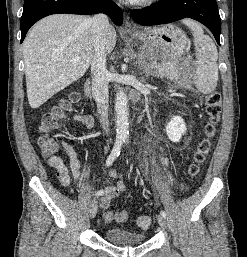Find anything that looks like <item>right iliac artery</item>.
I'll return each mask as SVG.
<instances>
[{"label":"right iliac artery","instance_id":"1","mask_svg":"<svg viewBox=\"0 0 247 257\" xmlns=\"http://www.w3.org/2000/svg\"><path fill=\"white\" fill-rule=\"evenodd\" d=\"M121 146H122V140H116L113 150L111 151L110 155L108 156L106 160V166L109 167L114 160L119 156L121 152ZM103 191H97L95 195H102Z\"/></svg>","mask_w":247,"mask_h":257}]
</instances>
